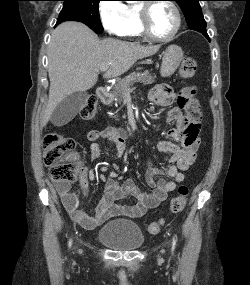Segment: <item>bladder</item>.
Here are the masks:
<instances>
[{"label": "bladder", "instance_id": "31cf9c89", "mask_svg": "<svg viewBox=\"0 0 250 285\" xmlns=\"http://www.w3.org/2000/svg\"><path fill=\"white\" fill-rule=\"evenodd\" d=\"M99 242L119 251L136 250L144 242L139 225L128 219H113L105 223L97 233Z\"/></svg>", "mask_w": 250, "mask_h": 285}]
</instances>
